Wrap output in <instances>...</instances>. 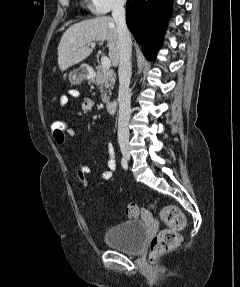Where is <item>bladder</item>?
Segmentation results:
<instances>
[{
  "label": "bladder",
  "mask_w": 240,
  "mask_h": 287,
  "mask_svg": "<svg viewBox=\"0 0 240 287\" xmlns=\"http://www.w3.org/2000/svg\"><path fill=\"white\" fill-rule=\"evenodd\" d=\"M147 237V226L141 220L123 222L104 233V241L108 247L128 254L141 252Z\"/></svg>",
  "instance_id": "1"
}]
</instances>
